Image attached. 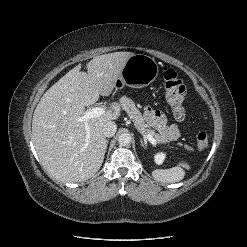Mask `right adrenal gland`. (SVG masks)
Instances as JSON below:
<instances>
[{"label":"right adrenal gland","mask_w":247,"mask_h":247,"mask_svg":"<svg viewBox=\"0 0 247 247\" xmlns=\"http://www.w3.org/2000/svg\"><path fill=\"white\" fill-rule=\"evenodd\" d=\"M107 145H108V140L106 141V149H107ZM105 152H106V150H105Z\"/></svg>","instance_id":"obj_1"}]
</instances>
